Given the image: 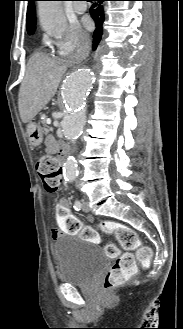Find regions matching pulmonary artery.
I'll return each instance as SVG.
<instances>
[{
    "mask_svg": "<svg viewBox=\"0 0 183 329\" xmlns=\"http://www.w3.org/2000/svg\"><path fill=\"white\" fill-rule=\"evenodd\" d=\"M87 10V4L85 3H77L74 5V11L77 14H82Z\"/></svg>",
    "mask_w": 183,
    "mask_h": 329,
    "instance_id": "pulmonary-artery-1",
    "label": "pulmonary artery"
}]
</instances>
